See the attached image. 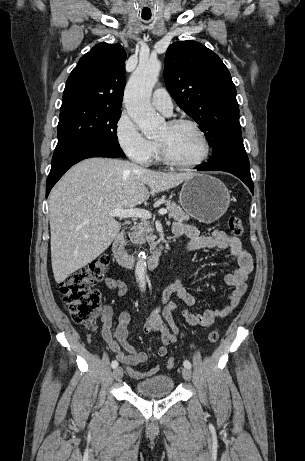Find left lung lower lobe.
<instances>
[{
	"mask_svg": "<svg viewBox=\"0 0 305 461\" xmlns=\"http://www.w3.org/2000/svg\"><path fill=\"white\" fill-rule=\"evenodd\" d=\"M199 171H225L240 178L254 192L250 164L243 145L242 135L230 138L224 156L215 163H204L195 167Z\"/></svg>",
	"mask_w": 305,
	"mask_h": 461,
	"instance_id": "0a47b994",
	"label": "left lung lower lobe"
}]
</instances>
